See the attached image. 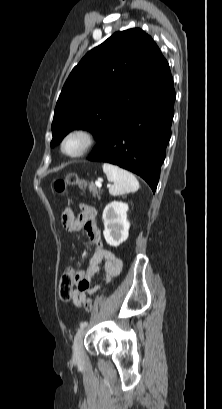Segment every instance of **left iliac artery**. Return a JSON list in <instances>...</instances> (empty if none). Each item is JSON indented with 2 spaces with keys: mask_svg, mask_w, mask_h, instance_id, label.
<instances>
[{
  "mask_svg": "<svg viewBox=\"0 0 222 409\" xmlns=\"http://www.w3.org/2000/svg\"><path fill=\"white\" fill-rule=\"evenodd\" d=\"M87 324H88V322H81L80 323V328L82 329V328H85L86 326H87Z\"/></svg>",
  "mask_w": 222,
  "mask_h": 409,
  "instance_id": "left-iliac-artery-1",
  "label": "left iliac artery"
}]
</instances>
